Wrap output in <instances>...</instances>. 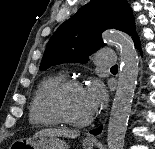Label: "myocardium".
I'll list each match as a JSON object with an SVG mask.
<instances>
[{
	"label": "myocardium",
	"mask_w": 155,
	"mask_h": 149,
	"mask_svg": "<svg viewBox=\"0 0 155 149\" xmlns=\"http://www.w3.org/2000/svg\"><path fill=\"white\" fill-rule=\"evenodd\" d=\"M72 88H83V86L78 80L74 79H65L58 83L50 93L51 108L61 122L76 127L86 126L92 122V115L84 120H75L65 110L64 96Z\"/></svg>",
	"instance_id": "1"
}]
</instances>
